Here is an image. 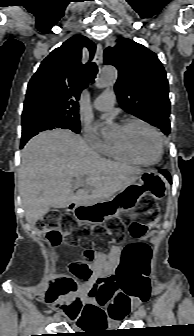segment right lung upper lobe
Instances as JSON below:
<instances>
[{
	"instance_id": "cb5924a9",
	"label": "right lung upper lobe",
	"mask_w": 194,
	"mask_h": 336,
	"mask_svg": "<svg viewBox=\"0 0 194 336\" xmlns=\"http://www.w3.org/2000/svg\"><path fill=\"white\" fill-rule=\"evenodd\" d=\"M84 46L93 57L95 44L84 36L76 35L54 49L42 61L28 84L22 113L23 123L49 115L79 119L77 100L88 85L85 73L87 64H81ZM37 133H30L21 141L27 142Z\"/></svg>"
}]
</instances>
